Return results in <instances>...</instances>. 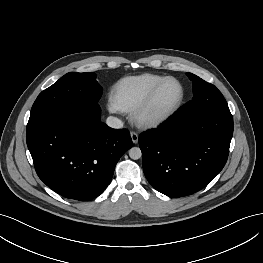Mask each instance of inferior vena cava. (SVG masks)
I'll return each mask as SVG.
<instances>
[{"label": "inferior vena cava", "instance_id": "1", "mask_svg": "<svg viewBox=\"0 0 263 263\" xmlns=\"http://www.w3.org/2000/svg\"><path fill=\"white\" fill-rule=\"evenodd\" d=\"M106 123L109 127L114 128V129H120L123 127V122L113 116H109L106 120Z\"/></svg>", "mask_w": 263, "mask_h": 263}]
</instances>
